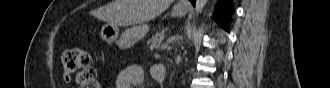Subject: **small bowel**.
<instances>
[{"label":"small bowel","mask_w":330,"mask_h":88,"mask_svg":"<svg viewBox=\"0 0 330 88\" xmlns=\"http://www.w3.org/2000/svg\"><path fill=\"white\" fill-rule=\"evenodd\" d=\"M151 77L156 82H163L166 79V67L162 64H155L150 69ZM116 88H130L136 86L146 87L145 73L141 66L130 65L121 70L115 82Z\"/></svg>","instance_id":"obj_1"}]
</instances>
